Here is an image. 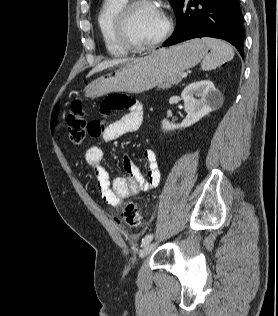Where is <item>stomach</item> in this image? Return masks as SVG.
Wrapping results in <instances>:
<instances>
[{
    "label": "stomach",
    "instance_id": "stomach-1",
    "mask_svg": "<svg viewBox=\"0 0 278 316\" xmlns=\"http://www.w3.org/2000/svg\"><path fill=\"white\" fill-rule=\"evenodd\" d=\"M208 51L200 40L154 50L149 55L124 63L118 70L89 83L87 97L95 98L110 92L141 93L156 87L172 75L197 65Z\"/></svg>",
    "mask_w": 278,
    "mask_h": 316
}]
</instances>
